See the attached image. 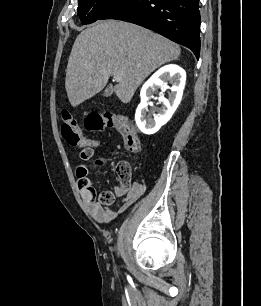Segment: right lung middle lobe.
I'll return each instance as SVG.
<instances>
[{
	"instance_id": "1",
	"label": "right lung middle lobe",
	"mask_w": 261,
	"mask_h": 306,
	"mask_svg": "<svg viewBox=\"0 0 261 306\" xmlns=\"http://www.w3.org/2000/svg\"><path fill=\"white\" fill-rule=\"evenodd\" d=\"M117 1L118 0H79L77 10L82 24L95 22Z\"/></svg>"
}]
</instances>
